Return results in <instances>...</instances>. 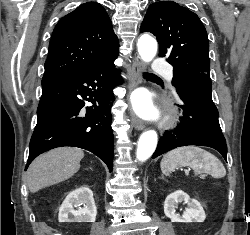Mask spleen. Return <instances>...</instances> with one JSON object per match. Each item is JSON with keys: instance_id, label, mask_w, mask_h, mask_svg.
<instances>
[{"instance_id": "3e777b00", "label": "spleen", "mask_w": 250, "mask_h": 235, "mask_svg": "<svg viewBox=\"0 0 250 235\" xmlns=\"http://www.w3.org/2000/svg\"><path fill=\"white\" fill-rule=\"evenodd\" d=\"M160 166L162 173L167 176L179 166H190L195 174L202 171L213 178L226 175L225 167L216 156L194 146L179 147L168 152L162 158Z\"/></svg>"}]
</instances>
